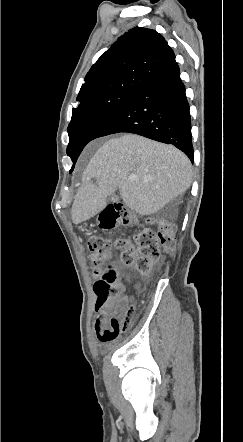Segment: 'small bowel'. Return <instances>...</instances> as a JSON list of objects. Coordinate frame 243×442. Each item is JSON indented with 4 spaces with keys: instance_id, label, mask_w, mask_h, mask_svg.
I'll return each mask as SVG.
<instances>
[{
    "instance_id": "obj_1",
    "label": "small bowel",
    "mask_w": 243,
    "mask_h": 442,
    "mask_svg": "<svg viewBox=\"0 0 243 442\" xmlns=\"http://www.w3.org/2000/svg\"><path fill=\"white\" fill-rule=\"evenodd\" d=\"M128 298L126 296L118 298L116 307L104 306L102 308H96L97 317L94 322V330L98 340L103 344H108L111 341H102V334L109 328L110 321L109 317L115 312H122L127 306ZM113 341V340H112Z\"/></svg>"
}]
</instances>
